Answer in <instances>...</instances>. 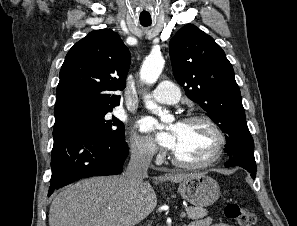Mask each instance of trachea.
I'll list each match as a JSON object with an SVG mask.
<instances>
[{
  "mask_svg": "<svg viewBox=\"0 0 297 226\" xmlns=\"http://www.w3.org/2000/svg\"><path fill=\"white\" fill-rule=\"evenodd\" d=\"M140 24H141L143 27H148V26L151 25V23H149V22H141Z\"/></svg>",
  "mask_w": 297,
  "mask_h": 226,
  "instance_id": "1",
  "label": "trachea"
}]
</instances>
